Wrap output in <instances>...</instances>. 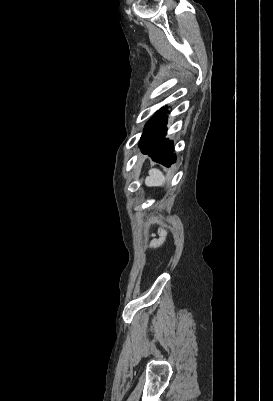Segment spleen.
I'll return each instance as SVG.
<instances>
[{"instance_id": "obj_1", "label": "spleen", "mask_w": 273, "mask_h": 401, "mask_svg": "<svg viewBox=\"0 0 273 401\" xmlns=\"http://www.w3.org/2000/svg\"><path fill=\"white\" fill-rule=\"evenodd\" d=\"M149 174L150 176H146L145 178V184H147V186H161V184L165 182V176L158 168H151Z\"/></svg>"}]
</instances>
